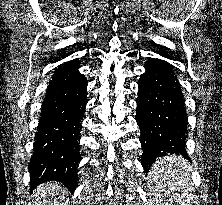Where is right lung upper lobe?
<instances>
[{"mask_svg":"<svg viewBox=\"0 0 222 205\" xmlns=\"http://www.w3.org/2000/svg\"><path fill=\"white\" fill-rule=\"evenodd\" d=\"M76 68H79V62L73 60V61L60 65L58 69L56 70V72L71 70V69H76Z\"/></svg>","mask_w":222,"mask_h":205,"instance_id":"1","label":"right lung upper lobe"}]
</instances>
